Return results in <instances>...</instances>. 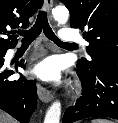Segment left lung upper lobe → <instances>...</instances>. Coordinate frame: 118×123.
Returning <instances> with one entry per match:
<instances>
[{
  "instance_id": "1",
  "label": "left lung upper lobe",
  "mask_w": 118,
  "mask_h": 123,
  "mask_svg": "<svg viewBox=\"0 0 118 123\" xmlns=\"http://www.w3.org/2000/svg\"><path fill=\"white\" fill-rule=\"evenodd\" d=\"M71 13L72 28L83 32L92 61L82 59L77 66L91 72L103 62L118 63V1L60 0Z\"/></svg>"
}]
</instances>
